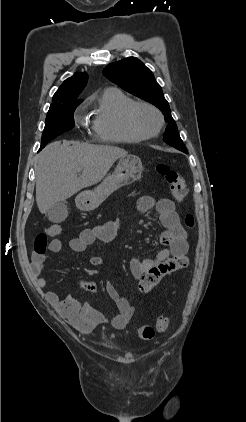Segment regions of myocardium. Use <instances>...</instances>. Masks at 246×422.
Returning a JSON list of instances; mask_svg holds the SVG:
<instances>
[{"label":"myocardium","mask_w":246,"mask_h":422,"mask_svg":"<svg viewBox=\"0 0 246 422\" xmlns=\"http://www.w3.org/2000/svg\"><path fill=\"white\" fill-rule=\"evenodd\" d=\"M140 108H148L150 110H152L158 117L159 123L157 128L153 131V132H145L144 130H142L139 125L137 124L136 121V113L138 111V109ZM125 121L126 124L128 126V128L138 137L142 138V139H150L153 138L155 136H157L165 123L164 120V116L162 114V112L160 111L159 108H157L155 105L148 103V102H134L132 105H130L126 112H125Z\"/></svg>","instance_id":"1"}]
</instances>
